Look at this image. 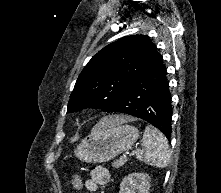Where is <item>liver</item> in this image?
<instances>
[{
    "label": "liver",
    "mask_w": 221,
    "mask_h": 193,
    "mask_svg": "<svg viewBox=\"0 0 221 193\" xmlns=\"http://www.w3.org/2000/svg\"><path fill=\"white\" fill-rule=\"evenodd\" d=\"M131 118L130 117H124V116H111V117H107V118H104L102 119L100 122H99V125L103 128H106V127H113V126H116V125H120V124H123L125 122H128L130 121Z\"/></svg>",
    "instance_id": "obj_1"
}]
</instances>
